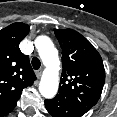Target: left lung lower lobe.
Masks as SVG:
<instances>
[{
	"mask_svg": "<svg viewBox=\"0 0 117 117\" xmlns=\"http://www.w3.org/2000/svg\"><path fill=\"white\" fill-rule=\"evenodd\" d=\"M45 107L53 117H81L86 113L57 96L53 99L45 100Z\"/></svg>",
	"mask_w": 117,
	"mask_h": 117,
	"instance_id": "1",
	"label": "left lung lower lobe"
}]
</instances>
